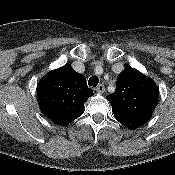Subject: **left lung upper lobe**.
Masks as SVG:
<instances>
[{
  "instance_id": "1",
  "label": "left lung upper lobe",
  "mask_w": 175,
  "mask_h": 175,
  "mask_svg": "<svg viewBox=\"0 0 175 175\" xmlns=\"http://www.w3.org/2000/svg\"><path fill=\"white\" fill-rule=\"evenodd\" d=\"M155 82L130 66L117 76L116 91L108 95L117 121L128 128L146 123L158 102Z\"/></svg>"
}]
</instances>
